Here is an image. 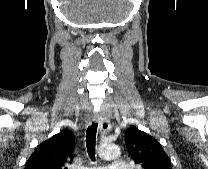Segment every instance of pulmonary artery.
<instances>
[{"instance_id": "pulmonary-artery-1", "label": "pulmonary artery", "mask_w": 208, "mask_h": 169, "mask_svg": "<svg viewBox=\"0 0 208 169\" xmlns=\"http://www.w3.org/2000/svg\"><path fill=\"white\" fill-rule=\"evenodd\" d=\"M81 169H131V167L126 160L115 158L106 167H82Z\"/></svg>"}]
</instances>
